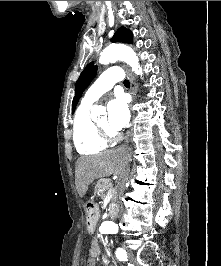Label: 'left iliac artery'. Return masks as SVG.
I'll return each mask as SVG.
<instances>
[{"mask_svg": "<svg viewBox=\"0 0 221 266\" xmlns=\"http://www.w3.org/2000/svg\"><path fill=\"white\" fill-rule=\"evenodd\" d=\"M115 254L119 260H126L127 258L126 251L122 248H117Z\"/></svg>", "mask_w": 221, "mask_h": 266, "instance_id": "obj_1", "label": "left iliac artery"}]
</instances>
